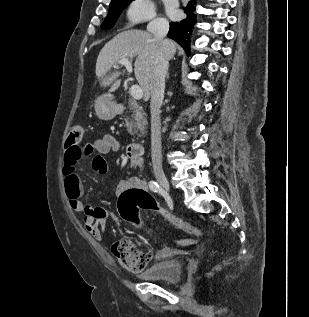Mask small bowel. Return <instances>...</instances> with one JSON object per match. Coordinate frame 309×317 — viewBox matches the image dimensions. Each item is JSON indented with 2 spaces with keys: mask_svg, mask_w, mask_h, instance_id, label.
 Segmentation results:
<instances>
[{
  "mask_svg": "<svg viewBox=\"0 0 309 317\" xmlns=\"http://www.w3.org/2000/svg\"><path fill=\"white\" fill-rule=\"evenodd\" d=\"M90 151L84 157L90 158L91 169L99 174L107 172V162L105 156L111 152L118 151L120 142L112 135H105L103 138L96 140L89 145ZM131 165L142 167L143 160L141 157L131 158ZM64 188L71 208L78 213L83 214V225L86 231L97 241H101L103 234L107 230V219L112 217L119 222L116 215L103 207H94L87 205L82 201L83 185L77 173V162L68 164L64 160ZM129 189H142L147 191L146 182L137 176L129 177L117 186V192L121 195Z\"/></svg>",
  "mask_w": 309,
  "mask_h": 317,
  "instance_id": "1",
  "label": "small bowel"
}]
</instances>
